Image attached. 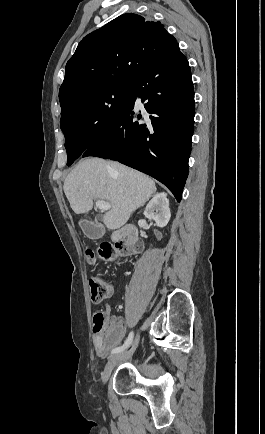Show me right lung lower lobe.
Instances as JSON below:
<instances>
[{"label": "right lung lower lobe", "mask_w": 265, "mask_h": 434, "mask_svg": "<svg viewBox=\"0 0 265 434\" xmlns=\"http://www.w3.org/2000/svg\"><path fill=\"white\" fill-rule=\"evenodd\" d=\"M132 90L121 119L81 156L117 160L142 171L180 201L188 176L195 102L189 63L179 44L145 69ZM137 97L143 103L139 111Z\"/></svg>", "instance_id": "1"}]
</instances>
